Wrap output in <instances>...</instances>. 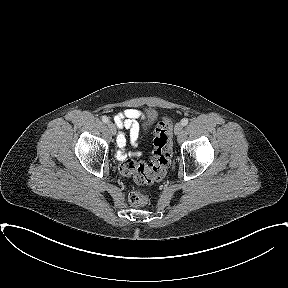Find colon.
<instances>
[{
    "mask_svg": "<svg viewBox=\"0 0 288 288\" xmlns=\"http://www.w3.org/2000/svg\"><path fill=\"white\" fill-rule=\"evenodd\" d=\"M172 122L164 117L157 125L154 138L153 158L149 163L124 158L120 163V172L132 177L138 184H151L161 180L169 167L172 157ZM130 204L140 206L147 202V196L141 191H131L128 196Z\"/></svg>",
    "mask_w": 288,
    "mask_h": 288,
    "instance_id": "1",
    "label": "colon"
}]
</instances>
